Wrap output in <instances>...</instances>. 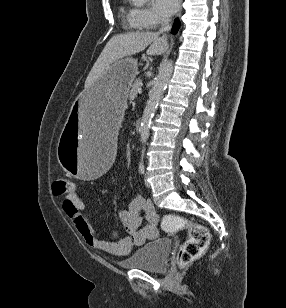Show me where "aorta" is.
<instances>
[{"instance_id": "762f6f07", "label": "aorta", "mask_w": 286, "mask_h": 308, "mask_svg": "<svg viewBox=\"0 0 286 308\" xmlns=\"http://www.w3.org/2000/svg\"><path fill=\"white\" fill-rule=\"evenodd\" d=\"M135 4H144L147 0H132ZM173 73V61L167 60L163 62L159 68L158 75L155 79L154 85L149 92V99L147 101L146 107L143 112L141 127H140V136L141 142L146 143L149 137L150 124L153 118V115L156 111L157 105L162 97L164 90L167 87V84Z\"/></svg>"}]
</instances>
